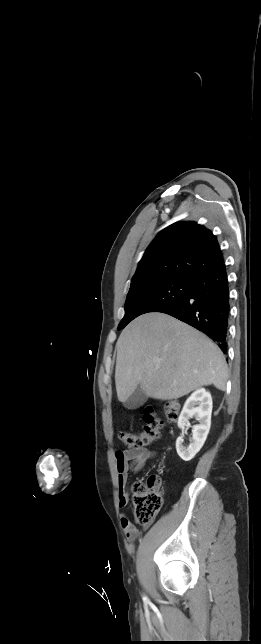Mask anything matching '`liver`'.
<instances>
[{
	"label": "liver",
	"instance_id": "6515ba94",
	"mask_svg": "<svg viewBox=\"0 0 261 644\" xmlns=\"http://www.w3.org/2000/svg\"><path fill=\"white\" fill-rule=\"evenodd\" d=\"M115 384L125 402L138 386L147 397L178 399L214 385L224 391L225 357L204 334L167 314L154 312L134 319L116 343Z\"/></svg>",
	"mask_w": 261,
	"mask_h": 644
}]
</instances>
